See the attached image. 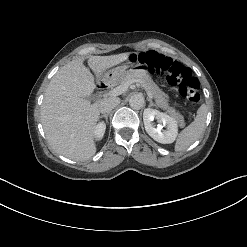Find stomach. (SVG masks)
Listing matches in <instances>:
<instances>
[{"instance_id": "obj_1", "label": "stomach", "mask_w": 247, "mask_h": 247, "mask_svg": "<svg viewBox=\"0 0 247 247\" xmlns=\"http://www.w3.org/2000/svg\"><path fill=\"white\" fill-rule=\"evenodd\" d=\"M129 73L146 74L140 69H135L132 65H122L108 71L105 75V80L109 84H117Z\"/></svg>"}]
</instances>
